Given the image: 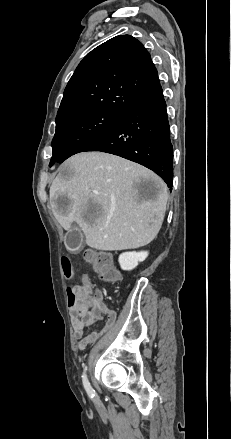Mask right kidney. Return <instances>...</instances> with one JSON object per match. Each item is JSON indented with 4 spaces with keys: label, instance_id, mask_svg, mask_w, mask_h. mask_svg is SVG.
Wrapping results in <instances>:
<instances>
[{
    "label": "right kidney",
    "instance_id": "obj_1",
    "mask_svg": "<svg viewBox=\"0 0 231 439\" xmlns=\"http://www.w3.org/2000/svg\"><path fill=\"white\" fill-rule=\"evenodd\" d=\"M148 256L147 251L141 252H125L119 256V264L123 270H133L139 262H143Z\"/></svg>",
    "mask_w": 231,
    "mask_h": 439
}]
</instances>
